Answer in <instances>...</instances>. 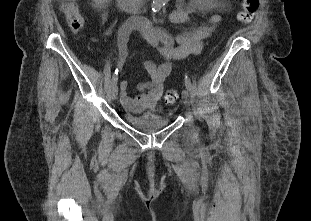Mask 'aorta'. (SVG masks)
<instances>
[{"instance_id":"1","label":"aorta","mask_w":311,"mask_h":221,"mask_svg":"<svg viewBox=\"0 0 311 221\" xmlns=\"http://www.w3.org/2000/svg\"><path fill=\"white\" fill-rule=\"evenodd\" d=\"M165 0H153L152 8L154 12H157V10H161L162 6H164Z\"/></svg>"}]
</instances>
